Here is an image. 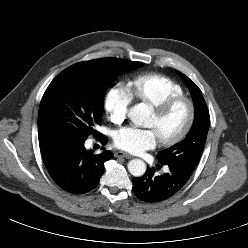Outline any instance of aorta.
<instances>
[{
    "label": "aorta",
    "mask_w": 248,
    "mask_h": 248,
    "mask_svg": "<svg viewBox=\"0 0 248 248\" xmlns=\"http://www.w3.org/2000/svg\"><path fill=\"white\" fill-rule=\"evenodd\" d=\"M130 120L137 126H141L150 116V110L144 103L133 106L128 114ZM128 171L135 177H140L146 172V164L141 159H133L128 163Z\"/></svg>",
    "instance_id": "1"
}]
</instances>
